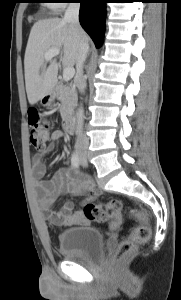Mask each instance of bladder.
<instances>
[{
  "label": "bladder",
  "instance_id": "31cf9c89",
  "mask_svg": "<svg viewBox=\"0 0 181 300\" xmlns=\"http://www.w3.org/2000/svg\"><path fill=\"white\" fill-rule=\"evenodd\" d=\"M103 249L104 238L94 227L68 228L59 236L60 253L68 259L91 260L99 257Z\"/></svg>",
  "mask_w": 181,
  "mask_h": 300
}]
</instances>
